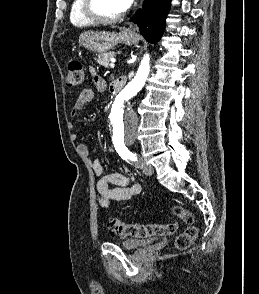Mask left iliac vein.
<instances>
[{
  "instance_id": "obj_1",
  "label": "left iliac vein",
  "mask_w": 259,
  "mask_h": 294,
  "mask_svg": "<svg viewBox=\"0 0 259 294\" xmlns=\"http://www.w3.org/2000/svg\"><path fill=\"white\" fill-rule=\"evenodd\" d=\"M139 166L142 172L147 176H151L154 172L153 168L150 165H147L142 159L139 161Z\"/></svg>"
}]
</instances>
